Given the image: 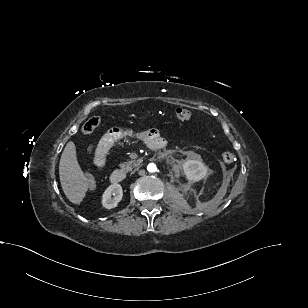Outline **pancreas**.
Returning <instances> with one entry per match:
<instances>
[{
	"instance_id": "cf45deb5",
	"label": "pancreas",
	"mask_w": 308,
	"mask_h": 308,
	"mask_svg": "<svg viewBox=\"0 0 308 308\" xmlns=\"http://www.w3.org/2000/svg\"><path fill=\"white\" fill-rule=\"evenodd\" d=\"M140 162H141V160L131 159L129 161L121 163L120 167H121L122 170L131 171L134 167H138Z\"/></svg>"
}]
</instances>
